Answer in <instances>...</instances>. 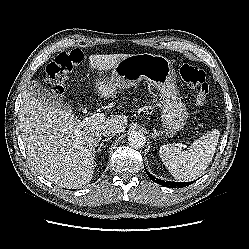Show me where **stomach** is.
<instances>
[{
  "mask_svg": "<svg viewBox=\"0 0 249 249\" xmlns=\"http://www.w3.org/2000/svg\"><path fill=\"white\" fill-rule=\"evenodd\" d=\"M112 76L113 83L120 84L123 90L145 79L160 92V121L166 136L173 137L184 127L187 108L179 96L175 69L169 59L151 53L132 54L118 61Z\"/></svg>",
  "mask_w": 249,
  "mask_h": 249,
  "instance_id": "obj_1",
  "label": "stomach"
}]
</instances>
